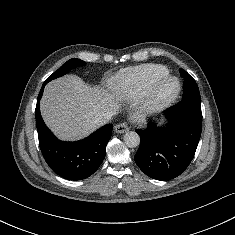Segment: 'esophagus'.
Masks as SVG:
<instances>
[{"label":"esophagus","mask_w":235,"mask_h":235,"mask_svg":"<svg viewBox=\"0 0 235 235\" xmlns=\"http://www.w3.org/2000/svg\"><path fill=\"white\" fill-rule=\"evenodd\" d=\"M129 130V126L127 123L125 122H122V123H119L115 126V132L116 133H125Z\"/></svg>","instance_id":"34e87169"}]
</instances>
